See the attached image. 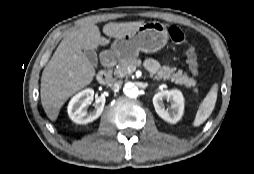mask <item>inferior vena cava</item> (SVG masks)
<instances>
[{"label":"inferior vena cava","mask_w":254,"mask_h":174,"mask_svg":"<svg viewBox=\"0 0 254 174\" xmlns=\"http://www.w3.org/2000/svg\"><path fill=\"white\" fill-rule=\"evenodd\" d=\"M110 87H112L114 90H117L121 87L122 81L121 80H112L109 83Z\"/></svg>","instance_id":"inferior-vena-cava-1"}]
</instances>
